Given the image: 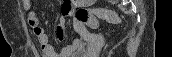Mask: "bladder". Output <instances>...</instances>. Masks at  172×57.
<instances>
[{"label":"bladder","mask_w":172,"mask_h":57,"mask_svg":"<svg viewBox=\"0 0 172 57\" xmlns=\"http://www.w3.org/2000/svg\"><path fill=\"white\" fill-rule=\"evenodd\" d=\"M71 57H90V55L88 52H85V53H81V54H74Z\"/></svg>","instance_id":"obj_1"}]
</instances>
